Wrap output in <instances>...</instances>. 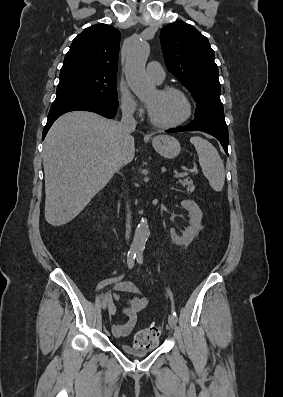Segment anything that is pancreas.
<instances>
[{"mask_svg":"<svg viewBox=\"0 0 283 397\" xmlns=\"http://www.w3.org/2000/svg\"><path fill=\"white\" fill-rule=\"evenodd\" d=\"M179 183L182 186L186 187L187 192H192L195 188L192 180L183 179V180H179Z\"/></svg>","mask_w":283,"mask_h":397,"instance_id":"cf45deb5","label":"pancreas"}]
</instances>
